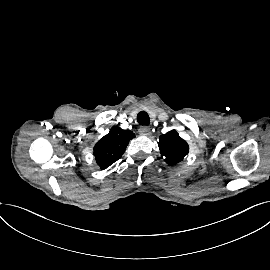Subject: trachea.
Here are the masks:
<instances>
[{
    "instance_id": "1",
    "label": "trachea",
    "mask_w": 270,
    "mask_h": 270,
    "mask_svg": "<svg viewBox=\"0 0 270 270\" xmlns=\"http://www.w3.org/2000/svg\"><path fill=\"white\" fill-rule=\"evenodd\" d=\"M137 121L140 125H149L150 124L149 115L145 111H141L137 115Z\"/></svg>"
}]
</instances>
